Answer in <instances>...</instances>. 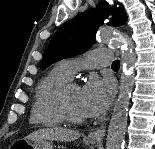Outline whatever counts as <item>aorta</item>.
I'll list each match as a JSON object with an SVG mask.
<instances>
[{
    "instance_id": "obj_1",
    "label": "aorta",
    "mask_w": 155,
    "mask_h": 149,
    "mask_svg": "<svg viewBox=\"0 0 155 149\" xmlns=\"http://www.w3.org/2000/svg\"><path fill=\"white\" fill-rule=\"evenodd\" d=\"M98 40L100 43L120 45L122 49L121 62L123 73L120 78L118 98L115 102L107 131L106 149H123L127 128L129 100L134 86L136 55L130 41L113 29L101 30L98 35Z\"/></svg>"
}]
</instances>
